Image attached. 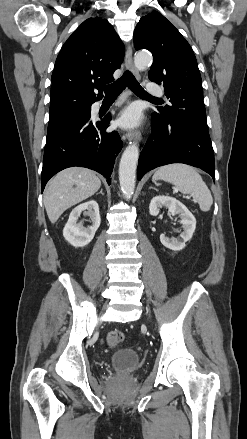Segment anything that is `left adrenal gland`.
Masks as SVG:
<instances>
[{"instance_id":"a2214340","label":"left adrenal gland","mask_w":247,"mask_h":439,"mask_svg":"<svg viewBox=\"0 0 247 439\" xmlns=\"http://www.w3.org/2000/svg\"><path fill=\"white\" fill-rule=\"evenodd\" d=\"M149 189H154V190L158 191V190H157L156 188H154V187H152V186H151V187H149Z\"/></svg>"}]
</instances>
